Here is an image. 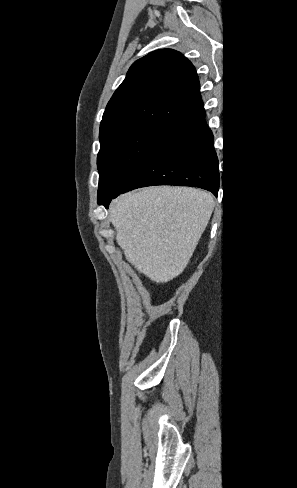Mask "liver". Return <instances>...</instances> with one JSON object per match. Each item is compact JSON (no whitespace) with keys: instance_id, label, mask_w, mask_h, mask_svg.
<instances>
[{"instance_id":"liver-1","label":"liver","mask_w":297,"mask_h":488,"mask_svg":"<svg viewBox=\"0 0 297 488\" xmlns=\"http://www.w3.org/2000/svg\"><path fill=\"white\" fill-rule=\"evenodd\" d=\"M213 208L206 191L150 187L115 199L111 222L128 262L150 280L166 283L186 268Z\"/></svg>"}]
</instances>
